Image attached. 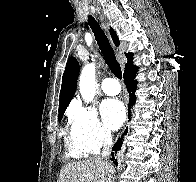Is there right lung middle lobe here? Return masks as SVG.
<instances>
[{
    "label": "right lung middle lobe",
    "instance_id": "right-lung-middle-lobe-1",
    "mask_svg": "<svg viewBox=\"0 0 196 182\" xmlns=\"http://www.w3.org/2000/svg\"><path fill=\"white\" fill-rule=\"evenodd\" d=\"M62 117H63V115H60V116H59V118H58V119H59V121H61Z\"/></svg>",
    "mask_w": 196,
    "mask_h": 182
}]
</instances>
